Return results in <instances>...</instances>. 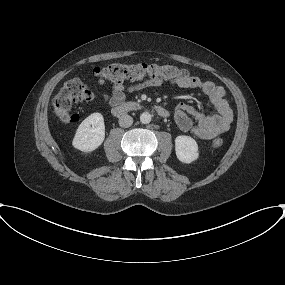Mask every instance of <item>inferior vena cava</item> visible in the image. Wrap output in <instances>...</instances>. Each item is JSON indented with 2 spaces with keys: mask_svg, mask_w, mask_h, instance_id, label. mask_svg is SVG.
<instances>
[{
  "mask_svg": "<svg viewBox=\"0 0 285 285\" xmlns=\"http://www.w3.org/2000/svg\"><path fill=\"white\" fill-rule=\"evenodd\" d=\"M132 124H133V118L128 114H124L119 118V125L123 128H128Z\"/></svg>",
  "mask_w": 285,
  "mask_h": 285,
  "instance_id": "602c4592",
  "label": "inferior vena cava"
}]
</instances>
